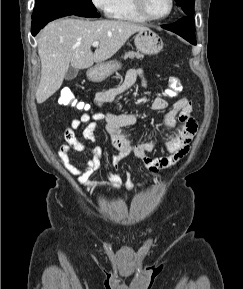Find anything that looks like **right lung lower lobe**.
Masks as SVG:
<instances>
[{
    "instance_id": "98d812e1",
    "label": "right lung lower lobe",
    "mask_w": 243,
    "mask_h": 289,
    "mask_svg": "<svg viewBox=\"0 0 243 289\" xmlns=\"http://www.w3.org/2000/svg\"><path fill=\"white\" fill-rule=\"evenodd\" d=\"M68 15H77L90 18L99 17V14L94 10L59 8L53 6H35L32 14V35L35 36L48 22Z\"/></svg>"
}]
</instances>
